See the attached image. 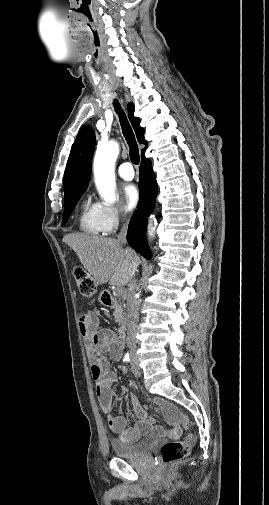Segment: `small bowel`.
<instances>
[{"label": "small bowel", "mask_w": 269, "mask_h": 505, "mask_svg": "<svg viewBox=\"0 0 269 505\" xmlns=\"http://www.w3.org/2000/svg\"><path fill=\"white\" fill-rule=\"evenodd\" d=\"M96 315L88 312L80 317V330L86 342V350L90 361L92 377L95 381L96 395L100 406L107 416L109 430L118 435L119 439L125 443H133L141 436L155 434L158 436L177 437L182 433L181 413L167 400L155 398L158 405L171 425L169 430L155 425L153 417L147 415L137 399L131 396V403L134 413L138 419L136 424L128 427L125 416L116 414L111 404V388L115 382V373L110 370V363L104 354H108L112 359L119 361L122 355V347L117 342L114 332L110 328H102L93 331L92 325L96 322Z\"/></svg>", "instance_id": "obj_1"}]
</instances>
